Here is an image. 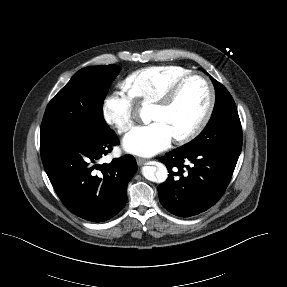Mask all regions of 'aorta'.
<instances>
[{"instance_id": "obj_1", "label": "aorta", "mask_w": 287, "mask_h": 287, "mask_svg": "<svg viewBox=\"0 0 287 287\" xmlns=\"http://www.w3.org/2000/svg\"><path fill=\"white\" fill-rule=\"evenodd\" d=\"M142 175L149 181L163 183L168 177V171L165 165L158 163L154 166H144Z\"/></svg>"}]
</instances>
